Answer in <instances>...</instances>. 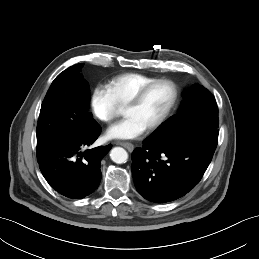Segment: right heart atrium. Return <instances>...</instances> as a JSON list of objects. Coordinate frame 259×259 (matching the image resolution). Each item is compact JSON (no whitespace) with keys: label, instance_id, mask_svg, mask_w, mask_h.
<instances>
[{"label":"right heart atrium","instance_id":"1","mask_svg":"<svg viewBox=\"0 0 259 259\" xmlns=\"http://www.w3.org/2000/svg\"><path fill=\"white\" fill-rule=\"evenodd\" d=\"M91 109L94 116L105 123L111 122L118 114V106L108 89L97 85L91 95Z\"/></svg>","mask_w":259,"mask_h":259}]
</instances>
